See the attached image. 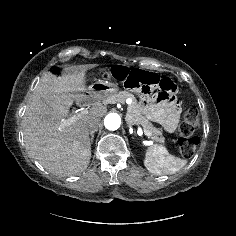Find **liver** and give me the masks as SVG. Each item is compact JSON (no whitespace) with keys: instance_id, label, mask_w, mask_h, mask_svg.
<instances>
[{"instance_id":"liver-1","label":"liver","mask_w":236,"mask_h":236,"mask_svg":"<svg viewBox=\"0 0 236 236\" xmlns=\"http://www.w3.org/2000/svg\"><path fill=\"white\" fill-rule=\"evenodd\" d=\"M98 64L66 67L61 76L45 73L35 86L26 106L22 125L26 148L46 170L60 176L84 171L91 158V142L87 122L101 118L106 108L101 97L86 88L87 71ZM87 93V94H86ZM95 100L97 106L69 126L61 121L69 116L74 101Z\"/></svg>"}]
</instances>
